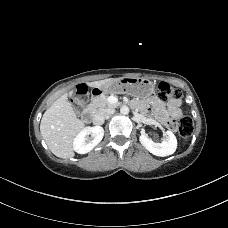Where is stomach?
I'll use <instances>...</instances> for the list:
<instances>
[{
	"label": "stomach",
	"mask_w": 228,
	"mask_h": 228,
	"mask_svg": "<svg viewBox=\"0 0 228 228\" xmlns=\"http://www.w3.org/2000/svg\"><path fill=\"white\" fill-rule=\"evenodd\" d=\"M155 85L146 78L121 77L94 88L93 97L108 94H128L135 97L147 98L154 92Z\"/></svg>",
	"instance_id": "stomach-1"
}]
</instances>
